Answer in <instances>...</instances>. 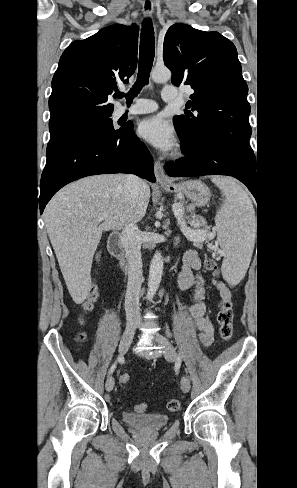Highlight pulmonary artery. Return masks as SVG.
<instances>
[{
  "label": "pulmonary artery",
  "mask_w": 297,
  "mask_h": 488,
  "mask_svg": "<svg viewBox=\"0 0 297 488\" xmlns=\"http://www.w3.org/2000/svg\"><path fill=\"white\" fill-rule=\"evenodd\" d=\"M162 98L166 102L175 101L177 98V90L171 86H165L162 90ZM158 108L157 104L153 100L149 99H137L136 104L126 108H120L118 111V115H138V114H146L156 111Z\"/></svg>",
  "instance_id": "obj_1"
}]
</instances>
